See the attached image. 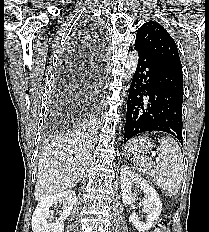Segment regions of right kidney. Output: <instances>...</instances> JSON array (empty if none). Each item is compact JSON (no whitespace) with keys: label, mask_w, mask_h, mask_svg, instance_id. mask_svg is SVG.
Returning <instances> with one entry per match:
<instances>
[{"label":"right kidney","mask_w":209,"mask_h":232,"mask_svg":"<svg viewBox=\"0 0 209 232\" xmlns=\"http://www.w3.org/2000/svg\"><path fill=\"white\" fill-rule=\"evenodd\" d=\"M76 193L65 190L42 199L32 216L33 232H64V221L71 214L76 203ZM57 203L63 204L59 218L54 221L53 211L50 208Z\"/></svg>","instance_id":"obj_1"}]
</instances>
